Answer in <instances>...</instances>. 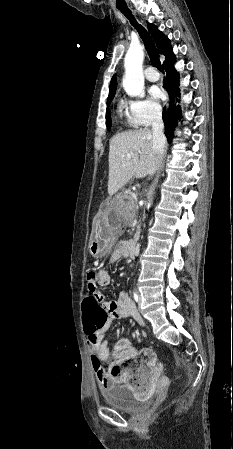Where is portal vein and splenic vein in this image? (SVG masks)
<instances>
[{
    "label": "portal vein and splenic vein",
    "mask_w": 233,
    "mask_h": 449,
    "mask_svg": "<svg viewBox=\"0 0 233 449\" xmlns=\"http://www.w3.org/2000/svg\"><path fill=\"white\" fill-rule=\"evenodd\" d=\"M132 154H127V158H131ZM135 200L137 201V198H135Z\"/></svg>",
    "instance_id": "18ae733b"
}]
</instances>
